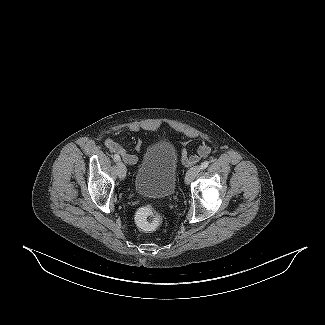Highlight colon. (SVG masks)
Segmentation results:
<instances>
[{"label": "colon", "mask_w": 325, "mask_h": 325, "mask_svg": "<svg viewBox=\"0 0 325 325\" xmlns=\"http://www.w3.org/2000/svg\"><path fill=\"white\" fill-rule=\"evenodd\" d=\"M135 219L138 226L146 232L156 230L162 223V215L148 206L139 209Z\"/></svg>", "instance_id": "obj_1"}]
</instances>
